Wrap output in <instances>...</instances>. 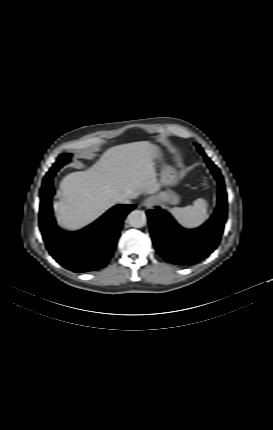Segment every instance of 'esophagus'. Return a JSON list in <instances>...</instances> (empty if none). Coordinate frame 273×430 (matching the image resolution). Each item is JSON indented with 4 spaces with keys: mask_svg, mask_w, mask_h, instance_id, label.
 Segmentation results:
<instances>
[{
    "mask_svg": "<svg viewBox=\"0 0 273 430\" xmlns=\"http://www.w3.org/2000/svg\"><path fill=\"white\" fill-rule=\"evenodd\" d=\"M156 203V199L153 196L146 198L143 202V206L147 209L152 208Z\"/></svg>",
    "mask_w": 273,
    "mask_h": 430,
    "instance_id": "esophagus-1",
    "label": "esophagus"
}]
</instances>
